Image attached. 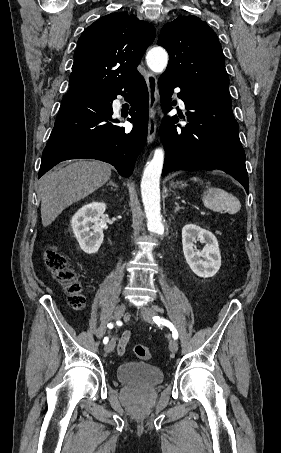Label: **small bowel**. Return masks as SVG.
<instances>
[{
	"mask_svg": "<svg viewBox=\"0 0 281 453\" xmlns=\"http://www.w3.org/2000/svg\"><path fill=\"white\" fill-rule=\"evenodd\" d=\"M129 336H130L129 331H125L121 336L119 343L117 344V350L119 351V355H124V351L126 349Z\"/></svg>",
	"mask_w": 281,
	"mask_h": 453,
	"instance_id": "c3829d8e",
	"label": "small bowel"
}]
</instances>
